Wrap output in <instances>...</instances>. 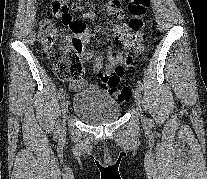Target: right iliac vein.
Here are the masks:
<instances>
[{"label": "right iliac vein", "mask_w": 207, "mask_h": 179, "mask_svg": "<svg viewBox=\"0 0 207 179\" xmlns=\"http://www.w3.org/2000/svg\"><path fill=\"white\" fill-rule=\"evenodd\" d=\"M61 108H62L63 117L65 118L68 112V101L65 98H63L62 100Z\"/></svg>", "instance_id": "obj_1"}]
</instances>
